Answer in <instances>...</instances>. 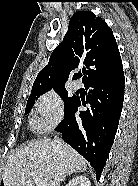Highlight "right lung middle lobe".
Masks as SVG:
<instances>
[{"label":"right lung middle lobe","instance_id":"right-lung-middle-lobe-1","mask_svg":"<svg viewBox=\"0 0 138 186\" xmlns=\"http://www.w3.org/2000/svg\"><path fill=\"white\" fill-rule=\"evenodd\" d=\"M47 91L30 94V97L28 98L27 105H26V111H25L26 114L30 112L33 104L35 103V100L38 99L40 95L44 94ZM54 91L58 93L64 100V110L66 112L73 105L76 97L75 96L68 97V92L65 89V86L54 88Z\"/></svg>","mask_w":138,"mask_h":186}]
</instances>
